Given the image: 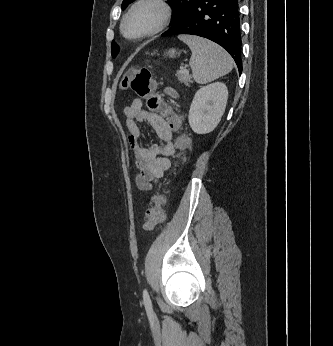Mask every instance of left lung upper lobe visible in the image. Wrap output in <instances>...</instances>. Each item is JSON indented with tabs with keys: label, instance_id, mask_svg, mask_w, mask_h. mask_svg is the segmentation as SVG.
<instances>
[{
	"label": "left lung upper lobe",
	"instance_id": "1",
	"mask_svg": "<svg viewBox=\"0 0 333 346\" xmlns=\"http://www.w3.org/2000/svg\"><path fill=\"white\" fill-rule=\"evenodd\" d=\"M135 0H123L121 8L124 9L127 7L130 3H132ZM172 3V26L177 24L179 21H181L187 14V9L189 6L193 3L194 0H169ZM119 51L118 45L113 41L111 44V52L113 56H116V54Z\"/></svg>",
	"mask_w": 333,
	"mask_h": 346
}]
</instances>
